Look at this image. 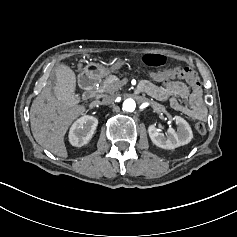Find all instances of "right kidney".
Listing matches in <instances>:
<instances>
[{
  "mask_svg": "<svg viewBox=\"0 0 237 237\" xmlns=\"http://www.w3.org/2000/svg\"><path fill=\"white\" fill-rule=\"evenodd\" d=\"M97 124V119L92 116H85L77 120L70 130L71 144L76 147L85 145L91 139Z\"/></svg>",
  "mask_w": 237,
  "mask_h": 237,
  "instance_id": "1",
  "label": "right kidney"
}]
</instances>
